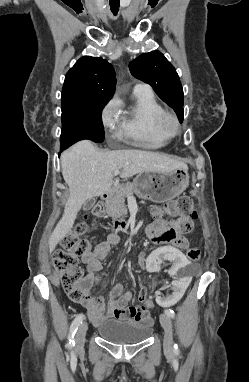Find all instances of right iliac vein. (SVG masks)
I'll use <instances>...</instances> for the list:
<instances>
[{
    "label": "right iliac vein",
    "mask_w": 249,
    "mask_h": 382,
    "mask_svg": "<svg viewBox=\"0 0 249 382\" xmlns=\"http://www.w3.org/2000/svg\"><path fill=\"white\" fill-rule=\"evenodd\" d=\"M87 329H88L87 323L81 324L78 328L76 339H75L76 340L75 348L77 350H80L84 345Z\"/></svg>",
    "instance_id": "obj_1"
}]
</instances>
